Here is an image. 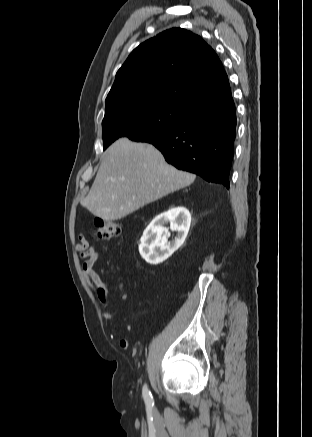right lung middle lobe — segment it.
I'll return each mask as SVG.
<instances>
[{
	"label": "right lung middle lobe",
	"instance_id": "right-lung-middle-lobe-1",
	"mask_svg": "<svg viewBox=\"0 0 312 437\" xmlns=\"http://www.w3.org/2000/svg\"><path fill=\"white\" fill-rule=\"evenodd\" d=\"M190 110L161 102L123 105L105 114L102 121L104 150L120 137L144 142L177 128Z\"/></svg>",
	"mask_w": 312,
	"mask_h": 437
}]
</instances>
